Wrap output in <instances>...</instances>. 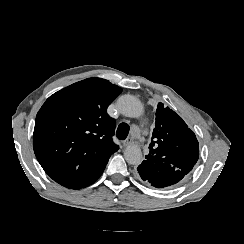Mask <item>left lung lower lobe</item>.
I'll use <instances>...</instances> for the list:
<instances>
[{
    "instance_id": "left-lung-lower-lobe-1",
    "label": "left lung lower lobe",
    "mask_w": 244,
    "mask_h": 244,
    "mask_svg": "<svg viewBox=\"0 0 244 244\" xmlns=\"http://www.w3.org/2000/svg\"><path fill=\"white\" fill-rule=\"evenodd\" d=\"M164 163L147 160L138 166L137 170L143 181L156 188H164L178 183L185 174L168 170Z\"/></svg>"
}]
</instances>
